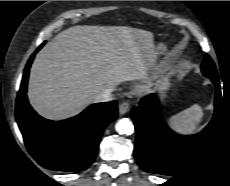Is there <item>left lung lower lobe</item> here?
<instances>
[{"instance_id":"0a47b994","label":"left lung lower lobe","mask_w":230,"mask_h":186,"mask_svg":"<svg viewBox=\"0 0 230 186\" xmlns=\"http://www.w3.org/2000/svg\"><path fill=\"white\" fill-rule=\"evenodd\" d=\"M211 80L216 86L214 117L196 135L184 136L170 130L160 114L159 99L154 94L143 97L139 105L131 110L137 134L135 159L144 171L173 175L206 145L223 102L218 77Z\"/></svg>"}]
</instances>
